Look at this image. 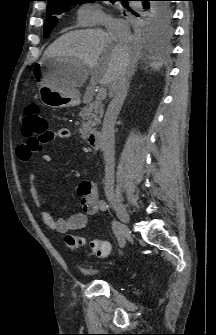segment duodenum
I'll return each mask as SVG.
<instances>
[{"mask_svg":"<svg viewBox=\"0 0 216 335\" xmlns=\"http://www.w3.org/2000/svg\"><path fill=\"white\" fill-rule=\"evenodd\" d=\"M87 141L94 149H100L102 146V136L97 130H92L87 135Z\"/></svg>","mask_w":216,"mask_h":335,"instance_id":"1","label":"duodenum"}]
</instances>
